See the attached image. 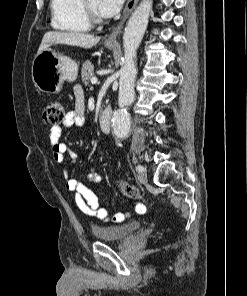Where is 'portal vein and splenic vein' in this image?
Returning <instances> with one entry per match:
<instances>
[{"label": "portal vein and splenic vein", "instance_id": "1", "mask_svg": "<svg viewBox=\"0 0 247 296\" xmlns=\"http://www.w3.org/2000/svg\"><path fill=\"white\" fill-rule=\"evenodd\" d=\"M97 81H98V80H97V78H96V77H93V78L91 79V83H92V84H96V83H97Z\"/></svg>", "mask_w": 247, "mask_h": 296}]
</instances>
